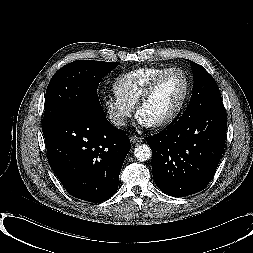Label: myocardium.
I'll use <instances>...</instances> for the list:
<instances>
[{"mask_svg":"<svg viewBox=\"0 0 253 253\" xmlns=\"http://www.w3.org/2000/svg\"><path fill=\"white\" fill-rule=\"evenodd\" d=\"M172 73H177L180 74L181 77L184 80V93L182 96L181 101L179 102L178 106L176 107V109L167 117L161 119L160 121L153 123L152 125L154 127H164L167 126L171 123H173L183 112L189 96H190V80L187 76V74L185 73V71L181 68L178 67H172V68H168L165 71H163L162 73H160L159 75H157L150 83L149 85L145 88V90L143 91L142 95L140 96V98L138 99L137 103H136V113L139 114L140 110L143 108L144 105H146L148 103V101L152 98L153 94L155 93L157 87L159 86V84L161 83V81L168 76L169 74Z\"/></svg>","mask_w":253,"mask_h":253,"instance_id":"f54148a6","label":"myocardium"}]
</instances>
